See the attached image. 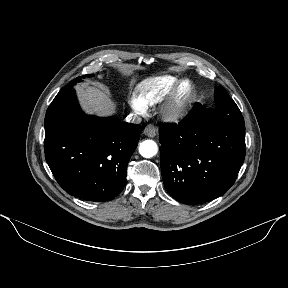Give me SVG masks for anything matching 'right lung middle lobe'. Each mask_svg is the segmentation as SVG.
Instances as JSON below:
<instances>
[{
    "label": "right lung middle lobe",
    "mask_w": 288,
    "mask_h": 288,
    "mask_svg": "<svg viewBox=\"0 0 288 288\" xmlns=\"http://www.w3.org/2000/svg\"><path fill=\"white\" fill-rule=\"evenodd\" d=\"M93 76V74H88V75H83L81 77H77L76 79L72 80L68 85H66L64 88H62L59 93L57 94V96L65 93L66 91H68L69 89H71L75 84L76 82H80L82 78H85V77H91Z\"/></svg>",
    "instance_id": "obj_1"
}]
</instances>
